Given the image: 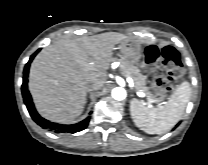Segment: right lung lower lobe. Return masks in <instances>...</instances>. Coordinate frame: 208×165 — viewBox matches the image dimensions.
<instances>
[{
    "mask_svg": "<svg viewBox=\"0 0 208 165\" xmlns=\"http://www.w3.org/2000/svg\"><path fill=\"white\" fill-rule=\"evenodd\" d=\"M40 51L37 50L31 57L30 60L28 61V63L25 65L24 68V72H23V84H22V95H23V99H24V103L32 117V119L41 127L43 128H47L50 130H53L56 133L59 132H69V133H75L78 131H81L83 129H85L89 123V119L90 117L86 118L85 120L81 121L80 123L77 124H73V125H60V124H56V123H52L44 118H42L37 111L35 110L34 104L32 102V98L31 95L28 91L27 88V82H28V72H29V67H30V63L32 62L33 58L35 57V55Z\"/></svg>",
    "mask_w": 208,
    "mask_h": 165,
    "instance_id": "obj_1",
    "label": "right lung lower lobe"
}]
</instances>
